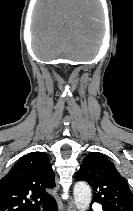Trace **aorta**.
<instances>
[{"label":"aorta","instance_id":"1","mask_svg":"<svg viewBox=\"0 0 133 211\" xmlns=\"http://www.w3.org/2000/svg\"><path fill=\"white\" fill-rule=\"evenodd\" d=\"M74 204L78 211H86L91 203V189L85 182H77L73 190Z\"/></svg>","mask_w":133,"mask_h":211}]
</instances>
